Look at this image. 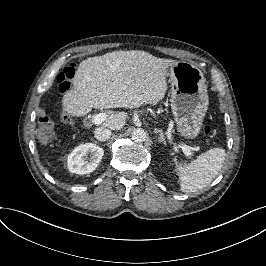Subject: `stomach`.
I'll list each match as a JSON object with an SVG mask.
<instances>
[{
	"instance_id": "stomach-1",
	"label": "stomach",
	"mask_w": 266,
	"mask_h": 266,
	"mask_svg": "<svg viewBox=\"0 0 266 266\" xmlns=\"http://www.w3.org/2000/svg\"><path fill=\"white\" fill-rule=\"evenodd\" d=\"M171 110L177 135L181 139L197 138L209 108L203 72L191 63L179 62L170 69Z\"/></svg>"
}]
</instances>
